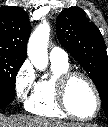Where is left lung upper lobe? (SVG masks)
Masks as SVG:
<instances>
[{
  "label": "left lung upper lobe",
  "instance_id": "1",
  "mask_svg": "<svg viewBox=\"0 0 108 127\" xmlns=\"http://www.w3.org/2000/svg\"><path fill=\"white\" fill-rule=\"evenodd\" d=\"M56 33L61 45L96 85L108 117V56L100 31L81 8L70 7L58 15Z\"/></svg>",
  "mask_w": 108,
  "mask_h": 127
}]
</instances>
